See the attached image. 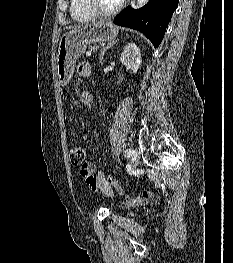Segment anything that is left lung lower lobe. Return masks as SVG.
Masks as SVG:
<instances>
[{"label": "left lung lower lobe", "mask_w": 233, "mask_h": 263, "mask_svg": "<svg viewBox=\"0 0 233 263\" xmlns=\"http://www.w3.org/2000/svg\"><path fill=\"white\" fill-rule=\"evenodd\" d=\"M179 0H150L138 10L128 7L114 18V23L144 33L158 47Z\"/></svg>", "instance_id": "1"}]
</instances>
